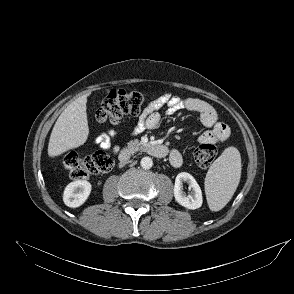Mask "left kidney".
<instances>
[{"label": "left kidney", "instance_id": "5707ae66", "mask_svg": "<svg viewBox=\"0 0 294 294\" xmlns=\"http://www.w3.org/2000/svg\"><path fill=\"white\" fill-rule=\"evenodd\" d=\"M183 182L188 183L189 187L192 189L191 194H185L182 188ZM174 197L181 206L191 210L200 208L203 202L200 186L198 185L194 177L187 172H181L176 176L174 185Z\"/></svg>", "mask_w": 294, "mask_h": 294}]
</instances>
